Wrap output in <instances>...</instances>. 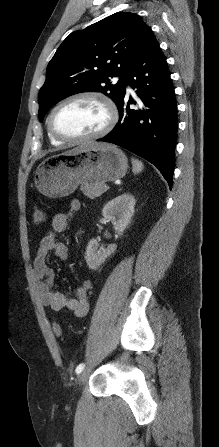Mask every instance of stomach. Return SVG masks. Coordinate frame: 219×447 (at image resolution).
<instances>
[{"label":"stomach","mask_w":219,"mask_h":447,"mask_svg":"<svg viewBox=\"0 0 219 447\" xmlns=\"http://www.w3.org/2000/svg\"><path fill=\"white\" fill-rule=\"evenodd\" d=\"M128 160L122 150L108 144L92 143L72 153L45 159L36 169L38 191L50 198L65 197L79 184H104L122 178Z\"/></svg>","instance_id":"1"}]
</instances>
